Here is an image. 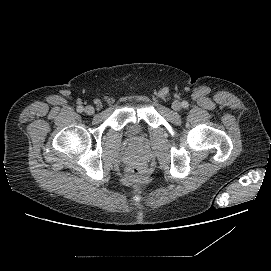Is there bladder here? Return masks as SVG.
Segmentation results:
<instances>
[{
  "instance_id": "obj_1",
  "label": "bladder",
  "mask_w": 271,
  "mask_h": 271,
  "mask_svg": "<svg viewBox=\"0 0 271 271\" xmlns=\"http://www.w3.org/2000/svg\"><path fill=\"white\" fill-rule=\"evenodd\" d=\"M139 125L137 123H132L129 127L131 132H136L138 130Z\"/></svg>"
}]
</instances>
